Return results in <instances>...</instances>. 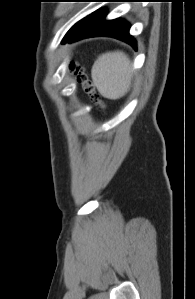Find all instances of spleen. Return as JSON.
I'll use <instances>...</instances> for the list:
<instances>
[{"label":"spleen","instance_id":"3e777b00","mask_svg":"<svg viewBox=\"0 0 195 299\" xmlns=\"http://www.w3.org/2000/svg\"><path fill=\"white\" fill-rule=\"evenodd\" d=\"M92 80L100 94L108 99H119L131 85L130 61L121 51L102 54L95 61Z\"/></svg>","mask_w":195,"mask_h":299}]
</instances>
